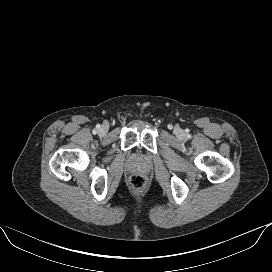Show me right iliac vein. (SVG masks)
<instances>
[{
	"label": "right iliac vein",
	"mask_w": 272,
	"mask_h": 272,
	"mask_svg": "<svg viewBox=\"0 0 272 272\" xmlns=\"http://www.w3.org/2000/svg\"><path fill=\"white\" fill-rule=\"evenodd\" d=\"M107 131H108V128L106 127V126H102L100 129H99V134L100 135H105L106 133H107Z\"/></svg>",
	"instance_id": "obj_1"
}]
</instances>
